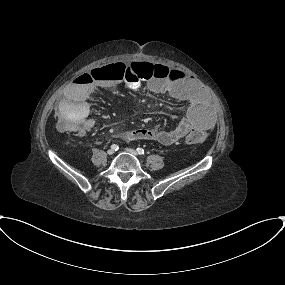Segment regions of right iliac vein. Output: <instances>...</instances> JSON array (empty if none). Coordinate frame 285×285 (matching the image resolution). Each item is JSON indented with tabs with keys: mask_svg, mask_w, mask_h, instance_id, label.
Here are the masks:
<instances>
[{
	"mask_svg": "<svg viewBox=\"0 0 285 285\" xmlns=\"http://www.w3.org/2000/svg\"><path fill=\"white\" fill-rule=\"evenodd\" d=\"M107 153H108L109 155H112V154H114V150H113V149H109V150L107 151Z\"/></svg>",
	"mask_w": 285,
	"mask_h": 285,
	"instance_id": "right-iliac-vein-1",
	"label": "right iliac vein"
}]
</instances>
